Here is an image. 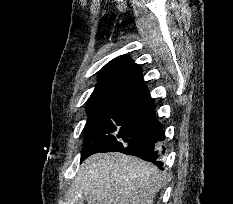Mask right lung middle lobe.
Masks as SVG:
<instances>
[{
	"mask_svg": "<svg viewBox=\"0 0 233 204\" xmlns=\"http://www.w3.org/2000/svg\"><path fill=\"white\" fill-rule=\"evenodd\" d=\"M162 132L150 102L121 103L89 115L84 146L116 151Z\"/></svg>",
	"mask_w": 233,
	"mask_h": 204,
	"instance_id": "right-lung-middle-lobe-1",
	"label": "right lung middle lobe"
}]
</instances>
